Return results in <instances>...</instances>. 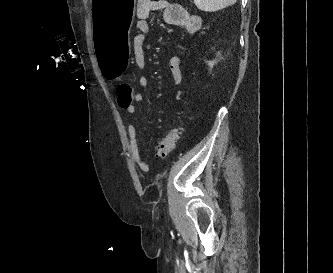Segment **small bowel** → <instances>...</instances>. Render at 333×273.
Wrapping results in <instances>:
<instances>
[{
	"instance_id": "c3829d8e",
	"label": "small bowel",
	"mask_w": 333,
	"mask_h": 273,
	"mask_svg": "<svg viewBox=\"0 0 333 273\" xmlns=\"http://www.w3.org/2000/svg\"><path fill=\"white\" fill-rule=\"evenodd\" d=\"M158 11L163 13V20L166 24L174 27L185 28L191 38L195 37L196 33L201 27L200 18L189 13L182 5L178 3H173L168 0H138L136 5V28L138 30V34L133 39L132 48L134 61L139 70H144L147 65L144 50V39L145 35L151 33L152 31L149 17L153 12ZM183 63L184 62L182 58L178 56H173L169 59V69L176 85H180L183 82ZM149 84L150 82L148 77L141 76L139 78V86L142 89L148 88ZM131 99L134 103V108L123 110L126 111L130 116H134L136 114L135 103H140L143 101V94L133 93ZM127 132L132 159L140 170L145 171L147 170L148 166L140 152L137 139V128L134 122L128 123Z\"/></svg>"
}]
</instances>
